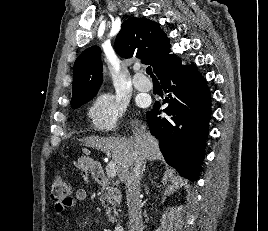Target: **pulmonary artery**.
<instances>
[{
  "label": "pulmonary artery",
  "mask_w": 268,
  "mask_h": 231,
  "mask_svg": "<svg viewBox=\"0 0 268 231\" xmlns=\"http://www.w3.org/2000/svg\"><path fill=\"white\" fill-rule=\"evenodd\" d=\"M134 87L139 92H148L152 88L151 81L146 78L141 72L137 73L133 78Z\"/></svg>",
  "instance_id": "e3ab8cb5"
}]
</instances>
